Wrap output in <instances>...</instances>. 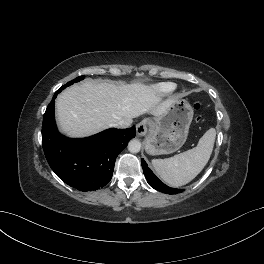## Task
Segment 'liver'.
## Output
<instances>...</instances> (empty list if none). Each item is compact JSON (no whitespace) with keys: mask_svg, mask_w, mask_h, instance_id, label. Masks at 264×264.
Here are the masks:
<instances>
[{"mask_svg":"<svg viewBox=\"0 0 264 264\" xmlns=\"http://www.w3.org/2000/svg\"><path fill=\"white\" fill-rule=\"evenodd\" d=\"M177 98L162 101L157 92L141 83L114 85L87 80L63 91L56 100L60 129L71 137H86L114 123L144 113L155 117L164 114Z\"/></svg>","mask_w":264,"mask_h":264,"instance_id":"liver-1","label":"liver"}]
</instances>
